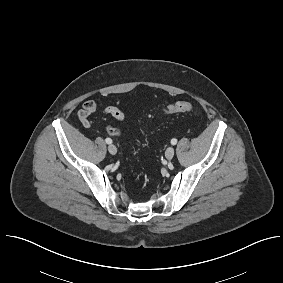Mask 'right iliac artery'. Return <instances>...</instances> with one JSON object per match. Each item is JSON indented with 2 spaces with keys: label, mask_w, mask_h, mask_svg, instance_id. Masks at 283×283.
<instances>
[{
  "label": "right iliac artery",
  "mask_w": 283,
  "mask_h": 283,
  "mask_svg": "<svg viewBox=\"0 0 283 283\" xmlns=\"http://www.w3.org/2000/svg\"><path fill=\"white\" fill-rule=\"evenodd\" d=\"M105 142H106L107 144H111V143H112V139L106 138V139H105Z\"/></svg>",
  "instance_id": "obj_1"
}]
</instances>
